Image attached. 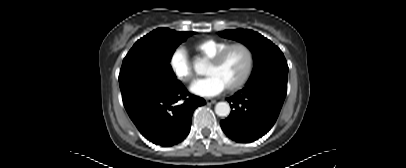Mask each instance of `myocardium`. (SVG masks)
<instances>
[{"label": "myocardium", "mask_w": 406, "mask_h": 168, "mask_svg": "<svg viewBox=\"0 0 406 168\" xmlns=\"http://www.w3.org/2000/svg\"><path fill=\"white\" fill-rule=\"evenodd\" d=\"M235 47H241L245 50L247 54V65L242 77L235 84L226 88L228 92H234L241 89L250 78L255 60L253 49L247 43L235 42L227 45L208 60V64H211L212 66H218L222 62L226 54Z\"/></svg>", "instance_id": "myocardium-1"}]
</instances>
